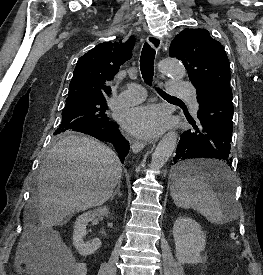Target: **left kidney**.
Masks as SVG:
<instances>
[{
	"instance_id": "obj_1",
	"label": "left kidney",
	"mask_w": 263,
	"mask_h": 275,
	"mask_svg": "<svg viewBox=\"0 0 263 275\" xmlns=\"http://www.w3.org/2000/svg\"><path fill=\"white\" fill-rule=\"evenodd\" d=\"M176 258L183 264L202 262L200 253L205 249L206 235L201 226L188 217H178L173 226Z\"/></svg>"
}]
</instances>
